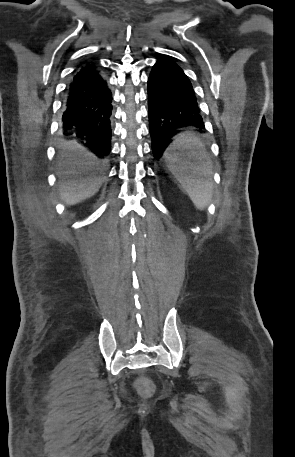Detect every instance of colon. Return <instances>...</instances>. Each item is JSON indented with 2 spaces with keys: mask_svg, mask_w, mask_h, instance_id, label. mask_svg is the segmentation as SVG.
I'll return each instance as SVG.
<instances>
[{
  "mask_svg": "<svg viewBox=\"0 0 295 457\" xmlns=\"http://www.w3.org/2000/svg\"><path fill=\"white\" fill-rule=\"evenodd\" d=\"M140 380L141 381H137L135 384L137 390H149L151 388V377L149 374H142Z\"/></svg>",
  "mask_w": 295,
  "mask_h": 457,
  "instance_id": "obj_1",
  "label": "colon"
}]
</instances>
